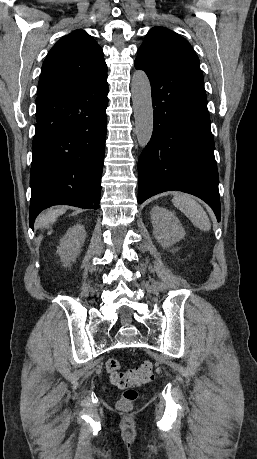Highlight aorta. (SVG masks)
<instances>
[{
	"label": "aorta",
	"instance_id": "762f6f07",
	"mask_svg": "<svg viewBox=\"0 0 257 459\" xmlns=\"http://www.w3.org/2000/svg\"><path fill=\"white\" fill-rule=\"evenodd\" d=\"M135 131L141 148L149 143L153 132V106L150 81L142 70L135 71L131 82Z\"/></svg>",
	"mask_w": 257,
	"mask_h": 459
}]
</instances>
